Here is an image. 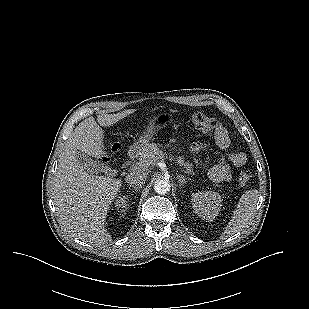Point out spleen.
Returning <instances> with one entry per match:
<instances>
[{"label":"spleen","instance_id":"1","mask_svg":"<svg viewBox=\"0 0 309 309\" xmlns=\"http://www.w3.org/2000/svg\"><path fill=\"white\" fill-rule=\"evenodd\" d=\"M258 198L259 192L256 189L248 190L242 195L233 211L231 220L228 222L227 227L222 233V238H227L247 226L255 211Z\"/></svg>","mask_w":309,"mask_h":309}]
</instances>
